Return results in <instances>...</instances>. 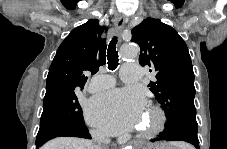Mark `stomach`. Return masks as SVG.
I'll return each mask as SVG.
<instances>
[{
    "label": "stomach",
    "mask_w": 227,
    "mask_h": 149,
    "mask_svg": "<svg viewBox=\"0 0 227 149\" xmlns=\"http://www.w3.org/2000/svg\"><path fill=\"white\" fill-rule=\"evenodd\" d=\"M145 149H172V148L167 147L165 145H155V146H152V147H149V148H145Z\"/></svg>",
    "instance_id": "obj_1"
}]
</instances>
